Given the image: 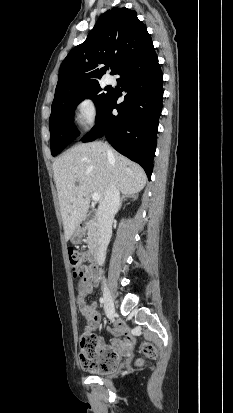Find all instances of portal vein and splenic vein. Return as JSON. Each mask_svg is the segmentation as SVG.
Here are the masks:
<instances>
[{
    "label": "portal vein and splenic vein",
    "mask_w": 233,
    "mask_h": 413,
    "mask_svg": "<svg viewBox=\"0 0 233 413\" xmlns=\"http://www.w3.org/2000/svg\"><path fill=\"white\" fill-rule=\"evenodd\" d=\"M92 200H94L95 202L100 200V195L96 192L92 193Z\"/></svg>",
    "instance_id": "18ae733b"
}]
</instances>
